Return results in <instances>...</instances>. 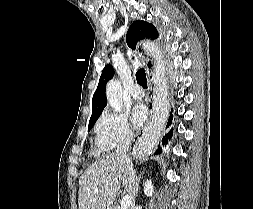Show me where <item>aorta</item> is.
I'll return each mask as SVG.
<instances>
[{
    "mask_svg": "<svg viewBox=\"0 0 253 209\" xmlns=\"http://www.w3.org/2000/svg\"><path fill=\"white\" fill-rule=\"evenodd\" d=\"M106 97L114 111L120 112L122 110V86L118 80L112 79L108 82L106 86Z\"/></svg>",
    "mask_w": 253,
    "mask_h": 209,
    "instance_id": "obj_1",
    "label": "aorta"
}]
</instances>
